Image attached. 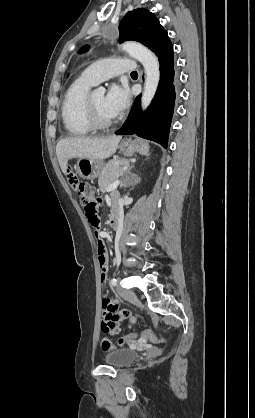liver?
<instances>
[{
    "label": "liver",
    "mask_w": 255,
    "mask_h": 418,
    "mask_svg": "<svg viewBox=\"0 0 255 418\" xmlns=\"http://www.w3.org/2000/svg\"><path fill=\"white\" fill-rule=\"evenodd\" d=\"M121 136L111 135L106 138L70 137L61 139L56 145L59 165L67 174L68 161L72 158L106 159L117 150Z\"/></svg>",
    "instance_id": "liver-1"
}]
</instances>
